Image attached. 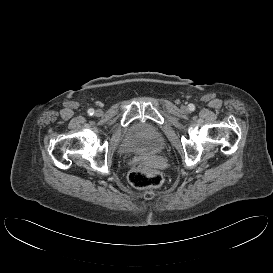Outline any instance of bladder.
I'll list each match as a JSON object with an SVG mask.
<instances>
[{
  "label": "bladder",
  "mask_w": 273,
  "mask_h": 273,
  "mask_svg": "<svg viewBox=\"0 0 273 273\" xmlns=\"http://www.w3.org/2000/svg\"><path fill=\"white\" fill-rule=\"evenodd\" d=\"M164 135L155 126L146 123H135L121 136L117 144L119 154L136 151L155 153L164 147Z\"/></svg>",
  "instance_id": "1"
}]
</instances>
